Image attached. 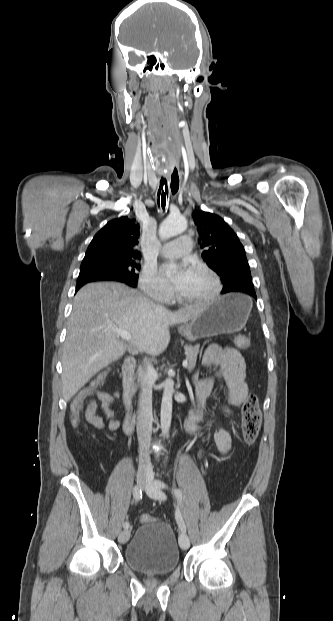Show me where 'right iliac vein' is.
Returning a JSON list of instances; mask_svg holds the SVG:
<instances>
[{"instance_id":"63e3f726","label":"right iliac vein","mask_w":333,"mask_h":621,"mask_svg":"<svg viewBox=\"0 0 333 621\" xmlns=\"http://www.w3.org/2000/svg\"><path fill=\"white\" fill-rule=\"evenodd\" d=\"M148 474L149 472L146 468L142 466L138 468L136 480H137V484L139 485V487L141 488L145 487ZM129 538H130V529H126L119 534L118 541L121 544H125Z\"/></svg>"}]
</instances>
